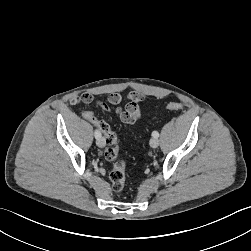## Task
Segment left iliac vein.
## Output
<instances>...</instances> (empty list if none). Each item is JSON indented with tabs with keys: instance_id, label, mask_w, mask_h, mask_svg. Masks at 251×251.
Wrapping results in <instances>:
<instances>
[{
	"instance_id": "1",
	"label": "left iliac vein",
	"mask_w": 251,
	"mask_h": 251,
	"mask_svg": "<svg viewBox=\"0 0 251 251\" xmlns=\"http://www.w3.org/2000/svg\"><path fill=\"white\" fill-rule=\"evenodd\" d=\"M150 146L152 148H157L159 146V140L157 138H152L150 140Z\"/></svg>"
}]
</instances>
